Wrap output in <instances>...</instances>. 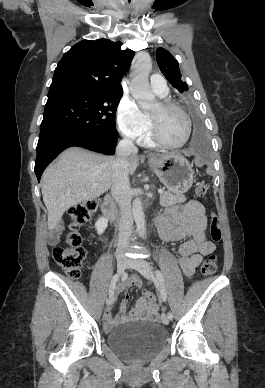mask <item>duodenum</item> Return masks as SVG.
Here are the masks:
<instances>
[{
    "mask_svg": "<svg viewBox=\"0 0 265 388\" xmlns=\"http://www.w3.org/2000/svg\"><path fill=\"white\" fill-rule=\"evenodd\" d=\"M102 211L110 223H112V224L116 223L117 212H116L114 200L111 196H106L103 199ZM154 223H155V226L158 229V231H161L162 228L164 227V223L160 218H156Z\"/></svg>",
    "mask_w": 265,
    "mask_h": 388,
    "instance_id": "1",
    "label": "duodenum"
}]
</instances>
